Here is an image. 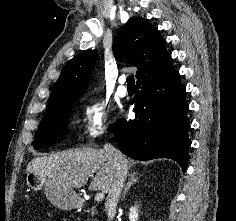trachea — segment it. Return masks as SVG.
I'll use <instances>...</instances> for the list:
<instances>
[{"label":"trachea","instance_id":"3493384b","mask_svg":"<svg viewBox=\"0 0 236 221\" xmlns=\"http://www.w3.org/2000/svg\"><path fill=\"white\" fill-rule=\"evenodd\" d=\"M128 86H135L134 75H129L126 79Z\"/></svg>","mask_w":236,"mask_h":221}]
</instances>
